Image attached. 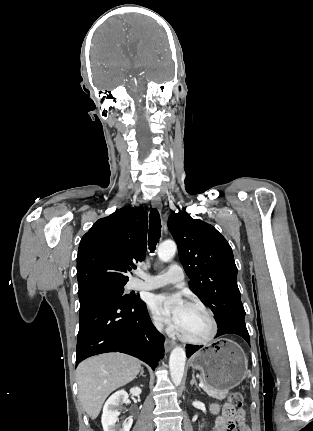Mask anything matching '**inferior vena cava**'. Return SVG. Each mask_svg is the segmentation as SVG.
<instances>
[{
    "label": "inferior vena cava",
    "instance_id": "obj_1",
    "mask_svg": "<svg viewBox=\"0 0 313 431\" xmlns=\"http://www.w3.org/2000/svg\"><path fill=\"white\" fill-rule=\"evenodd\" d=\"M155 326H156V328L158 329V330H162V328H163V325H162V323L161 322H156L155 323Z\"/></svg>",
    "mask_w": 313,
    "mask_h": 431
}]
</instances>
